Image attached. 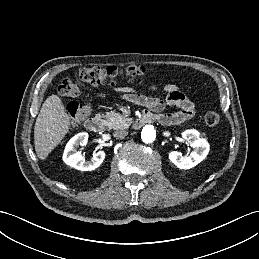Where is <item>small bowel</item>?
Wrapping results in <instances>:
<instances>
[{
  "instance_id": "obj_1",
  "label": "small bowel",
  "mask_w": 259,
  "mask_h": 259,
  "mask_svg": "<svg viewBox=\"0 0 259 259\" xmlns=\"http://www.w3.org/2000/svg\"><path fill=\"white\" fill-rule=\"evenodd\" d=\"M150 89L156 91L157 87L152 86ZM118 91L124 94L123 98L126 101L147 107L150 111L154 112L155 120L163 125L179 124L192 118L195 113V106L189 96L174 84L165 85L164 91L167 93L165 100L135 93L130 88H120ZM167 106L178 107L179 111L163 113V110Z\"/></svg>"
}]
</instances>
